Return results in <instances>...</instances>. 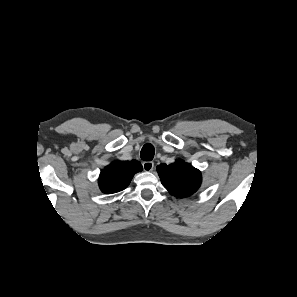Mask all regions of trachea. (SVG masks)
<instances>
[{
	"label": "trachea",
	"mask_w": 297,
	"mask_h": 297,
	"mask_svg": "<svg viewBox=\"0 0 297 297\" xmlns=\"http://www.w3.org/2000/svg\"><path fill=\"white\" fill-rule=\"evenodd\" d=\"M155 150L152 144H145L141 149L140 156L145 161H150L154 158Z\"/></svg>",
	"instance_id": "3493384b"
}]
</instances>
